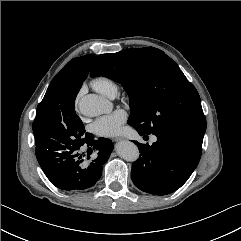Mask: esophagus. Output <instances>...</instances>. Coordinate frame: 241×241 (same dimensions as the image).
Wrapping results in <instances>:
<instances>
[{"mask_svg": "<svg viewBox=\"0 0 241 241\" xmlns=\"http://www.w3.org/2000/svg\"><path fill=\"white\" fill-rule=\"evenodd\" d=\"M123 140H124V138H122V137H117V138L113 139L114 142H120V141H123Z\"/></svg>", "mask_w": 241, "mask_h": 241, "instance_id": "obj_1", "label": "esophagus"}]
</instances>
